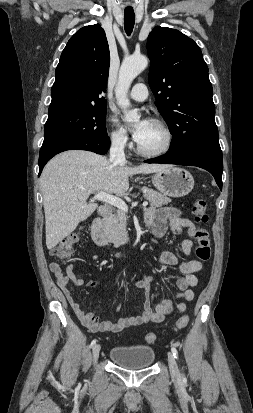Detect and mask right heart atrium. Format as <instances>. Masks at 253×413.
Masks as SVG:
<instances>
[{"label":"right heart atrium","instance_id":"obj_1","mask_svg":"<svg viewBox=\"0 0 253 413\" xmlns=\"http://www.w3.org/2000/svg\"><path fill=\"white\" fill-rule=\"evenodd\" d=\"M110 121L112 122V130L109 133L111 144L116 148L127 147L129 143V138L126 132L122 128L117 127L113 120Z\"/></svg>","mask_w":253,"mask_h":413}]
</instances>
